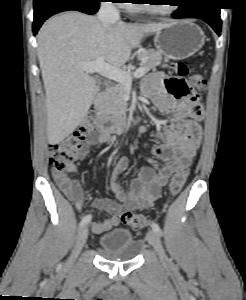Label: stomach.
Returning <instances> with one entry per match:
<instances>
[{
	"instance_id": "obj_1",
	"label": "stomach",
	"mask_w": 246,
	"mask_h": 300,
	"mask_svg": "<svg viewBox=\"0 0 246 300\" xmlns=\"http://www.w3.org/2000/svg\"><path fill=\"white\" fill-rule=\"evenodd\" d=\"M202 29L187 20L168 23L155 32L154 45L166 58L181 60L198 52L204 45Z\"/></svg>"
}]
</instances>
